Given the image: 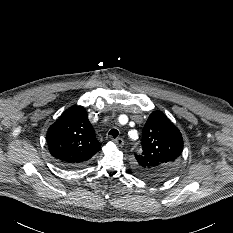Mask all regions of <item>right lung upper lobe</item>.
<instances>
[{"label":"right lung upper lobe","instance_id":"cb5924a9","mask_svg":"<svg viewBox=\"0 0 233 233\" xmlns=\"http://www.w3.org/2000/svg\"><path fill=\"white\" fill-rule=\"evenodd\" d=\"M51 155L65 167L77 168L100 150L101 143L84 107L72 106L48 129Z\"/></svg>","mask_w":233,"mask_h":233}]
</instances>
